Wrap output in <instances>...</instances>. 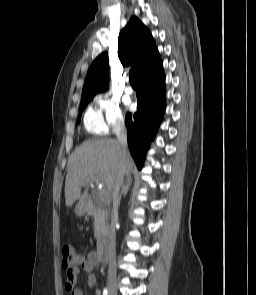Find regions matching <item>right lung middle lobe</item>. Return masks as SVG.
<instances>
[{
  "mask_svg": "<svg viewBox=\"0 0 256 295\" xmlns=\"http://www.w3.org/2000/svg\"><path fill=\"white\" fill-rule=\"evenodd\" d=\"M93 97H85V98H81V104H80V116H81V113L82 111L84 110V108L86 107V105L88 104V102L91 101ZM80 116H79V120L78 122L80 121Z\"/></svg>",
  "mask_w": 256,
  "mask_h": 295,
  "instance_id": "obj_1",
  "label": "right lung middle lobe"
}]
</instances>
